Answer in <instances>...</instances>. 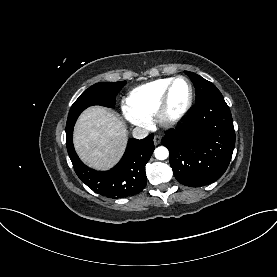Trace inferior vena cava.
I'll return each mask as SVG.
<instances>
[{
	"mask_svg": "<svg viewBox=\"0 0 277 277\" xmlns=\"http://www.w3.org/2000/svg\"><path fill=\"white\" fill-rule=\"evenodd\" d=\"M149 134V131L146 128L137 127L134 128L132 131V135L136 139H143L147 137Z\"/></svg>",
	"mask_w": 277,
	"mask_h": 277,
	"instance_id": "1",
	"label": "inferior vena cava"
}]
</instances>
